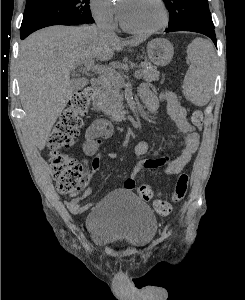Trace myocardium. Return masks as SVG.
Here are the masks:
<instances>
[{"label":"myocardium","mask_w":245,"mask_h":300,"mask_svg":"<svg viewBox=\"0 0 245 300\" xmlns=\"http://www.w3.org/2000/svg\"><path fill=\"white\" fill-rule=\"evenodd\" d=\"M157 1L161 6V8L163 10V15H164L163 21L160 25L153 27V28H149V29H140V28L132 27L124 21L122 13L120 12L119 21H120L121 27L128 32H131L134 34H140V35L154 34V33H157L159 31L163 30L164 28H166L169 23V10H168V7L164 0H157Z\"/></svg>","instance_id":"1"}]
</instances>
